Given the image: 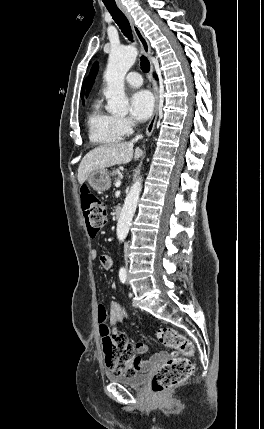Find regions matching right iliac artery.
Masks as SVG:
<instances>
[{
    "label": "right iliac artery",
    "mask_w": 264,
    "mask_h": 429,
    "mask_svg": "<svg viewBox=\"0 0 264 429\" xmlns=\"http://www.w3.org/2000/svg\"><path fill=\"white\" fill-rule=\"evenodd\" d=\"M119 278H120V281H121L122 283H125V282H126V279H127V272H126V269L121 268V269L119 270Z\"/></svg>",
    "instance_id": "obj_1"
}]
</instances>
